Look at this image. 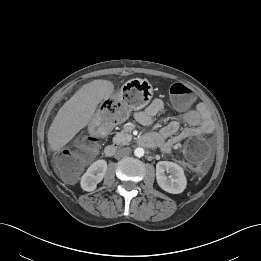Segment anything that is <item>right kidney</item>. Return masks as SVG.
<instances>
[{"label": "right kidney", "instance_id": "obj_1", "mask_svg": "<svg viewBox=\"0 0 261 261\" xmlns=\"http://www.w3.org/2000/svg\"><path fill=\"white\" fill-rule=\"evenodd\" d=\"M107 170V162L105 160H97L94 162L81 177V188L84 191H93L99 182L103 180Z\"/></svg>", "mask_w": 261, "mask_h": 261}]
</instances>
